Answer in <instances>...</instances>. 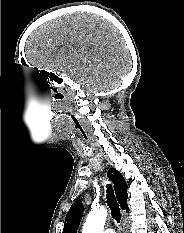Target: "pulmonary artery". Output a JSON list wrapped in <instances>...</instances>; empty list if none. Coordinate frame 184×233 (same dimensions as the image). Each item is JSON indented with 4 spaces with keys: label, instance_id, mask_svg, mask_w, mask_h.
<instances>
[{
    "label": "pulmonary artery",
    "instance_id": "pulmonary-artery-1",
    "mask_svg": "<svg viewBox=\"0 0 184 233\" xmlns=\"http://www.w3.org/2000/svg\"><path fill=\"white\" fill-rule=\"evenodd\" d=\"M104 233H115V231L112 228H108Z\"/></svg>",
    "mask_w": 184,
    "mask_h": 233
}]
</instances>
